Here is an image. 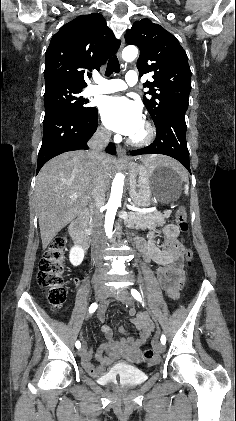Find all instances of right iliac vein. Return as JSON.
<instances>
[{
    "instance_id": "1",
    "label": "right iliac vein",
    "mask_w": 236,
    "mask_h": 421,
    "mask_svg": "<svg viewBox=\"0 0 236 421\" xmlns=\"http://www.w3.org/2000/svg\"><path fill=\"white\" fill-rule=\"evenodd\" d=\"M103 282L99 281L98 284L95 287L94 295L95 298L100 301L105 298L107 295V291L103 288ZM86 352V346L82 345V347L79 349L78 354L79 356H83Z\"/></svg>"
}]
</instances>
